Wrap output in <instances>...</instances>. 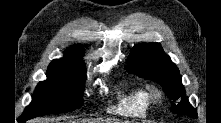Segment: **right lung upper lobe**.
<instances>
[{"mask_svg": "<svg viewBox=\"0 0 221 123\" xmlns=\"http://www.w3.org/2000/svg\"><path fill=\"white\" fill-rule=\"evenodd\" d=\"M82 55L83 50L81 49V47L74 45L67 49L62 59L53 60L50 65H67L81 70H86L84 67V63L81 60Z\"/></svg>", "mask_w": 221, "mask_h": 123, "instance_id": "obj_1", "label": "right lung upper lobe"}]
</instances>
